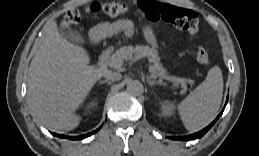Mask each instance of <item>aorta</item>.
Masks as SVG:
<instances>
[{
    "label": "aorta",
    "instance_id": "obj_1",
    "mask_svg": "<svg viewBox=\"0 0 259 156\" xmlns=\"http://www.w3.org/2000/svg\"><path fill=\"white\" fill-rule=\"evenodd\" d=\"M127 91L132 95H141L143 93V85L140 81H130L127 85Z\"/></svg>",
    "mask_w": 259,
    "mask_h": 156
}]
</instances>
